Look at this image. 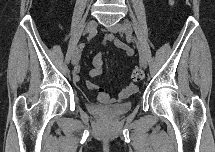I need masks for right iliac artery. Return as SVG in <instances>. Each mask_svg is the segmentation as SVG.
I'll return each instance as SVG.
<instances>
[{
  "label": "right iliac artery",
  "mask_w": 215,
  "mask_h": 152,
  "mask_svg": "<svg viewBox=\"0 0 215 152\" xmlns=\"http://www.w3.org/2000/svg\"><path fill=\"white\" fill-rule=\"evenodd\" d=\"M95 35H96V31L91 32V33L89 34L88 39H91V38L94 37ZM84 46H85L84 43H80V44H79V48H80V49H82Z\"/></svg>",
  "instance_id": "obj_1"
}]
</instances>
